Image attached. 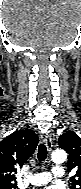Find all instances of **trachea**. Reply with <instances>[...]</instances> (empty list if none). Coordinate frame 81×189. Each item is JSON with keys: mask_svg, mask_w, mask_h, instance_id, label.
Here are the masks:
<instances>
[{"mask_svg": "<svg viewBox=\"0 0 81 189\" xmlns=\"http://www.w3.org/2000/svg\"><path fill=\"white\" fill-rule=\"evenodd\" d=\"M37 157L40 162H44L47 158V148L43 143L38 147Z\"/></svg>", "mask_w": 81, "mask_h": 189, "instance_id": "obj_1", "label": "trachea"}]
</instances>
